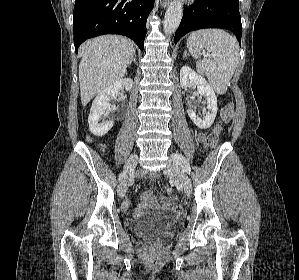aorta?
<instances>
[{
    "mask_svg": "<svg viewBox=\"0 0 299 280\" xmlns=\"http://www.w3.org/2000/svg\"><path fill=\"white\" fill-rule=\"evenodd\" d=\"M183 15V6L180 1L173 0L169 4L163 22L164 32L167 35L175 33Z\"/></svg>",
    "mask_w": 299,
    "mask_h": 280,
    "instance_id": "762f6f07",
    "label": "aorta"
}]
</instances>
